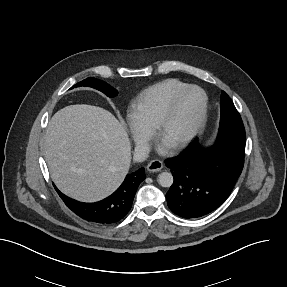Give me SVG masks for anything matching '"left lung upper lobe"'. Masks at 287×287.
<instances>
[{"label":"left lung upper lobe","mask_w":287,"mask_h":287,"mask_svg":"<svg viewBox=\"0 0 287 287\" xmlns=\"http://www.w3.org/2000/svg\"><path fill=\"white\" fill-rule=\"evenodd\" d=\"M220 107L221 119L219 135L231 133L245 135V129L240 114L224 91H222Z\"/></svg>","instance_id":"1"}]
</instances>
